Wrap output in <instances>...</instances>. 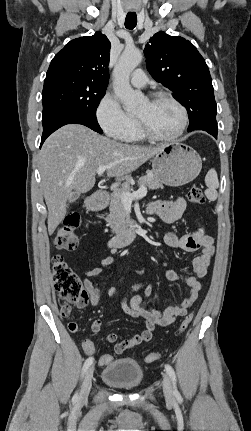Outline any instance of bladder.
<instances>
[{"label":"bladder","instance_id":"1","mask_svg":"<svg viewBox=\"0 0 251 431\" xmlns=\"http://www.w3.org/2000/svg\"><path fill=\"white\" fill-rule=\"evenodd\" d=\"M104 383L117 389H136L143 380V369L133 359H118L108 364L101 373Z\"/></svg>","mask_w":251,"mask_h":431}]
</instances>
